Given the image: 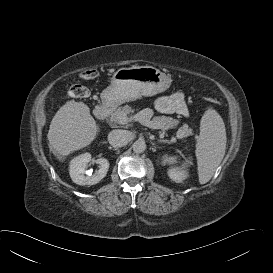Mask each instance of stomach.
Here are the masks:
<instances>
[{
    "mask_svg": "<svg viewBox=\"0 0 273 273\" xmlns=\"http://www.w3.org/2000/svg\"><path fill=\"white\" fill-rule=\"evenodd\" d=\"M169 74L153 66H133L117 70L111 85L101 93L102 104L114 108L142 96H154L171 85Z\"/></svg>",
    "mask_w": 273,
    "mask_h": 273,
    "instance_id": "1",
    "label": "stomach"
}]
</instances>
